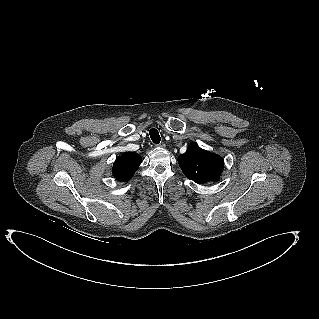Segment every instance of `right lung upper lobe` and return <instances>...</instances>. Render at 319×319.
Returning a JSON list of instances; mask_svg holds the SVG:
<instances>
[{
  "label": "right lung upper lobe",
  "mask_w": 319,
  "mask_h": 319,
  "mask_svg": "<svg viewBox=\"0 0 319 319\" xmlns=\"http://www.w3.org/2000/svg\"><path fill=\"white\" fill-rule=\"evenodd\" d=\"M141 164V157L136 153H124L113 166V176L121 182L128 181Z\"/></svg>",
  "instance_id": "right-lung-upper-lobe-1"
}]
</instances>
